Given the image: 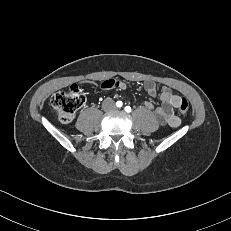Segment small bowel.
Returning a JSON list of instances; mask_svg holds the SVG:
<instances>
[{
	"label": "small bowel",
	"mask_w": 231,
	"mask_h": 231,
	"mask_svg": "<svg viewBox=\"0 0 231 231\" xmlns=\"http://www.w3.org/2000/svg\"><path fill=\"white\" fill-rule=\"evenodd\" d=\"M101 86L105 89L119 88L121 90L126 89V84L122 81H117L115 79L105 80ZM144 89L151 97L158 96L157 86L154 81L147 80L144 82ZM161 105L156 107L152 102L145 101L144 107L148 110L154 112L157 120L162 125H168L170 127H178L181 123L180 117L175 113L174 109L179 107L181 96L173 93V91L164 86L161 89L160 95Z\"/></svg>",
	"instance_id": "obj_1"
}]
</instances>
